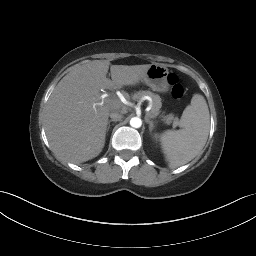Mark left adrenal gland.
Segmentation results:
<instances>
[{
  "label": "left adrenal gland",
  "mask_w": 256,
  "mask_h": 256,
  "mask_svg": "<svg viewBox=\"0 0 256 256\" xmlns=\"http://www.w3.org/2000/svg\"><path fill=\"white\" fill-rule=\"evenodd\" d=\"M145 121L147 124H149V131L152 132L153 128L155 127V122L150 120L148 116L145 117Z\"/></svg>",
  "instance_id": "1"
}]
</instances>
